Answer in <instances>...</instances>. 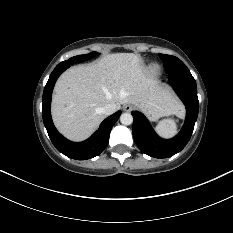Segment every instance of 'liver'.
Instances as JSON below:
<instances>
[{
  "label": "liver",
  "mask_w": 233,
  "mask_h": 233,
  "mask_svg": "<svg viewBox=\"0 0 233 233\" xmlns=\"http://www.w3.org/2000/svg\"><path fill=\"white\" fill-rule=\"evenodd\" d=\"M54 91V124L73 141L85 140L98 128L105 118L99 109L110 103L117 109L133 104L152 119L183 112L177 99L144 73L140 56L133 53L108 54L97 62L71 67Z\"/></svg>",
  "instance_id": "6515ba94"
}]
</instances>
